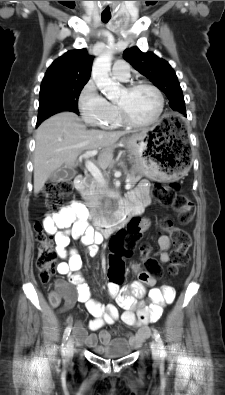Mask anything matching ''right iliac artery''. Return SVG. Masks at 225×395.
<instances>
[{
    "label": "right iliac artery",
    "instance_id": "82829eb1",
    "mask_svg": "<svg viewBox=\"0 0 225 395\" xmlns=\"http://www.w3.org/2000/svg\"><path fill=\"white\" fill-rule=\"evenodd\" d=\"M71 329H72L71 326H67L65 331H64L63 342H62V346H61V349H62L63 353H65V342L67 341V339H68V337L70 335Z\"/></svg>",
    "mask_w": 225,
    "mask_h": 395
}]
</instances>
